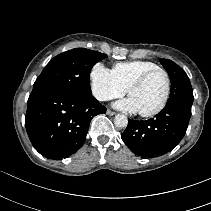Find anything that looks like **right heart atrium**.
Returning <instances> with one entry per match:
<instances>
[{
    "mask_svg": "<svg viewBox=\"0 0 211 211\" xmlns=\"http://www.w3.org/2000/svg\"><path fill=\"white\" fill-rule=\"evenodd\" d=\"M91 90L100 101H107L121 97L126 90L116 80L112 70L97 63L90 72Z\"/></svg>",
    "mask_w": 211,
    "mask_h": 211,
    "instance_id": "right-heart-atrium-1",
    "label": "right heart atrium"
}]
</instances>
